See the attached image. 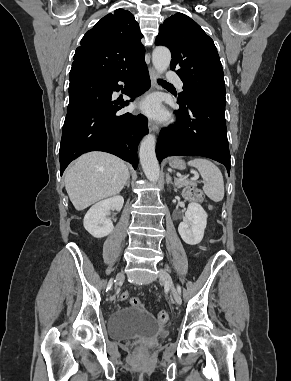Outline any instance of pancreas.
<instances>
[{
    "mask_svg": "<svg viewBox=\"0 0 291 381\" xmlns=\"http://www.w3.org/2000/svg\"><path fill=\"white\" fill-rule=\"evenodd\" d=\"M175 182L179 185V187L189 186L195 188L196 186V183L194 181L188 180L186 178H176Z\"/></svg>",
    "mask_w": 291,
    "mask_h": 381,
    "instance_id": "pancreas-1",
    "label": "pancreas"
}]
</instances>
